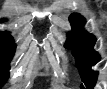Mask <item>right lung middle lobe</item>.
<instances>
[{
    "label": "right lung middle lobe",
    "instance_id": "right-lung-middle-lobe-1",
    "mask_svg": "<svg viewBox=\"0 0 107 89\" xmlns=\"http://www.w3.org/2000/svg\"><path fill=\"white\" fill-rule=\"evenodd\" d=\"M15 53L13 38L7 32L0 33V84H4L9 78V63Z\"/></svg>",
    "mask_w": 107,
    "mask_h": 89
}]
</instances>
